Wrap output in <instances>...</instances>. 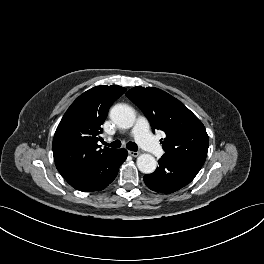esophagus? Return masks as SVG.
<instances>
[{"label":"esophagus","instance_id":"obj_1","mask_svg":"<svg viewBox=\"0 0 264 264\" xmlns=\"http://www.w3.org/2000/svg\"><path fill=\"white\" fill-rule=\"evenodd\" d=\"M128 153L133 157H138L140 155V152L138 151H131L129 150Z\"/></svg>","mask_w":264,"mask_h":264}]
</instances>
